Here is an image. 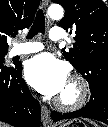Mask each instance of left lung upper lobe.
Listing matches in <instances>:
<instances>
[{"instance_id": "left-lung-upper-lobe-1", "label": "left lung upper lobe", "mask_w": 108, "mask_h": 127, "mask_svg": "<svg viewBox=\"0 0 108 127\" xmlns=\"http://www.w3.org/2000/svg\"><path fill=\"white\" fill-rule=\"evenodd\" d=\"M65 9L60 25L75 33L74 48L63 56L88 81L90 88L108 87V7L101 0H53Z\"/></svg>"}]
</instances>
